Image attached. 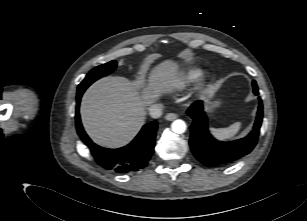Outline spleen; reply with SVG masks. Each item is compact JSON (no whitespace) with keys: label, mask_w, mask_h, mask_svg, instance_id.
Masks as SVG:
<instances>
[{"label":"spleen","mask_w":307,"mask_h":221,"mask_svg":"<svg viewBox=\"0 0 307 221\" xmlns=\"http://www.w3.org/2000/svg\"><path fill=\"white\" fill-rule=\"evenodd\" d=\"M241 127L240 122H236L226 128H211L212 135L218 140H228L233 138Z\"/></svg>","instance_id":"obj_1"}]
</instances>
